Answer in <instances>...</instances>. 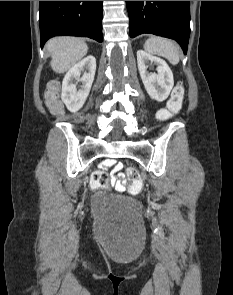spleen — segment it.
I'll use <instances>...</instances> for the list:
<instances>
[{"label": "spleen", "mask_w": 233, "mask_h": 295, "mask_svg": "<svg viewBox=\"0 0 233 295\" xmlns=\"http://www.w3.org/2000/svg\"><path fill=\"white\" fill-rule=\"evenodd\" d=\"M146 51L167 58L172 64L179 62L180 51L178 45L166 38L152 36L144 44Z\"/></svg>", "instance_id": "1"}]
</instances>
